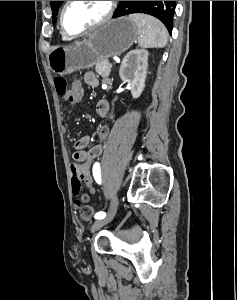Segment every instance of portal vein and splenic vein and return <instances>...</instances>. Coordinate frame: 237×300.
Masks as SVG:
<instances>
[{"mask_svg": "<svg viewBox=\"0 0 237 300\" xmlns=\"http://www.w3.org/2000/svg\"><path fill=\"white\" fill-rule=\"evenodd\" d=\"M108 65H106V68L110 69L112 66L110 65L111 63H107Z\"/></svg>", "mask_w": 237, "mask_h": 300, "instance_id": "18ae733b", "label": "portal vein and splenic vein"}]
</instances>
